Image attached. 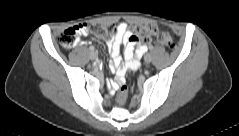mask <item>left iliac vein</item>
<instances>
[{"mask_svg": "<svg viewBox=\"0 0 239 136\" xmlns=\"http://www.w3.org/2000/svg\"><path fill=\"white\" fill-rule=\"evenodd\" d=\"M151 60H152V57H151L150 54H146V55L144 56V61H145V63H150Z\"/></svg>", "mask_w": 239, "mask_h": 136, "instance_id": "left-iliac-vein-1", "label": "left iliac vein"}]
</instances>
